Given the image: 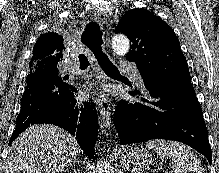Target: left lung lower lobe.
I'll return each mask as SVG.
<instances>
[{"label":"left lung lower lobe","mask_w":219,"mask_h":173,"mask_svg":"<svg viewBox=\"0 0 219 173\" xmlns=\"http://www.w3.org/2000/svg\"><path fill=\"white\" fill-rule=\"evenodd\" d=\"M149 90L150 100L139 91H130L142 103L121 100L115 111L114 126L120 144H132L151 139L183 142L203 154L212 163L208 132L192 84L163 90Z\"/></svg>","instance_id":"obj_1"}]
</instances>
